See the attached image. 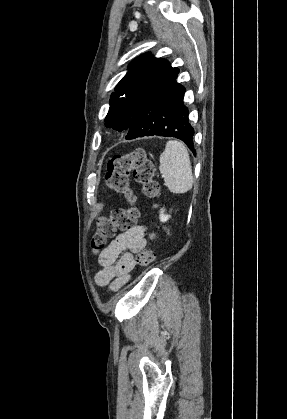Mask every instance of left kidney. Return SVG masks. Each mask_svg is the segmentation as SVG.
Wrapping results in <instances>:
<instances>
[{"mask_svg": "<svg viewBox=\"0 0 287 419\" xmlns=\"http://www.w3.org/2000/svg\"><path fill=\"white\" fill-rule=\"evenodd\" d=\"M170 218V215L164 214V209H161L160 211V221L166 222Z\"/></svg>", "mask_w": 287, "mask_h": 419, "instance_id": "left-kidney-1", "label": "left kidney"}]
</instances>
